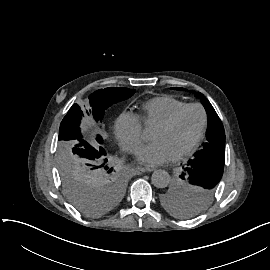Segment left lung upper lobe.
Listing matches in <instances>:
<instances>
[{
	"label": "left lung upper lobe",
	"mask_w": 270,
	"mask_h": 270,
	"mask_svg": "<svg viewBox=\"0 0 270 270\" xmlns=\"http://www.w3.org/2000/svg\"><path fill=\"white\" fill-rule=\"evenodd\" d=\"M185 90L184 88H173ZM208 116L206 140L202 149L189 159L183 172L161 193L162 205L172 214L192 218L210 204L223 175L225 162V132L220 118L207 98L198 92Z\"/></svg>",
	"instance_id": "5c2ea615"
}]
</instances>
